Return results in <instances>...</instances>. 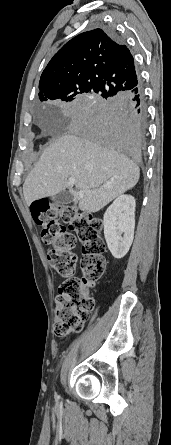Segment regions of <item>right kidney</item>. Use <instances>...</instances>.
Returning <instances> with one entry per match:
<instances>
[{
	"label": "right kidney",
	"instance_id": "ca27d5eb",
	"mask_svg": "<svg viewBox=\"0 0 171 445\" xmlns=\"http://www.w3.org/2000/svg\"><path fill=\"white\" fill-rule=\"evenodd\" d=\"M135 199L120 195L107 208L104 217V236L114 258H123L133 242L135 228Z\"/></svg>",
	"mask_w": 171,
	"mask_h": 445
}]
</instances>
